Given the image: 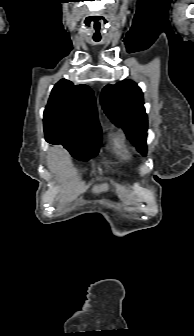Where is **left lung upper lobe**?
Masks as SVG:
<instances>
[{"mask_svg": "<svg viewBox=\"0 0 194 336\" xmlns=\"http://www.w3.org/2000/svg\"><path fill=\"white\" fill-rule=\"evenodd\" d=\"M101 103L106 115L146 154L147 115L138 85L131 80L107 85L102 90Z\"/></svg>", "mask_w": 194, "mask_h": 336, "instance_id": "1", "label": "left lung upper lobe"}]
</instances>
